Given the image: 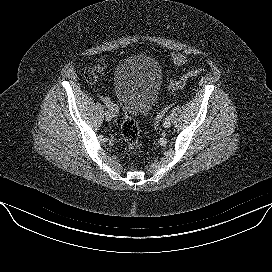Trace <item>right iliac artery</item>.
<instances>
[{
	"instance_id": "82829eb1",
	"label": "right iliac artery",
	"mask_w": 272,
	"mask_h": 272,
	"mask_svg": "<svg viewBox=\"0 0 272 272\" xmlns=\"http://www.w3.org/2000/svg\"><path fill=\"white\" fill-rule=\"evenodd\" d=\"M108 113H109V112H108L107 109H104V110H103V115H108Z\"/></svg>"
}]
</instances>
